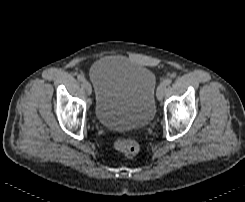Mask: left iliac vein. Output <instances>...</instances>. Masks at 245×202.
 I'll return each instance as SVG.
<instances>
[{
	"mask_svg": "<svg viewBox=\"0 0 245 202\" xmlns=\"http://www.w3.org/2000/svg\"><path fill=\"white\" fill-rule=\"evenodd\" d=\"M165 91H166V85L160 84L158 89H157V99L158 100H162L163 99Z\"/></svg>",
	"mask_w": 245,
	"mask_h": 202,
	"instance_id": "4c4485c4",
	"label": "left iliac vein"
}]
</instances>
